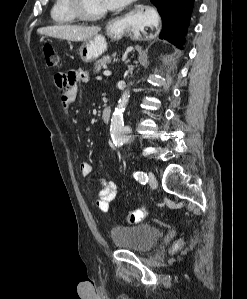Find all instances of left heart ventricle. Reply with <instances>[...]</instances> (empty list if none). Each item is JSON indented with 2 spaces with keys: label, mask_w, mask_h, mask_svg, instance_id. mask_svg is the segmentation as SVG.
<instances>
[{
  "label": "left heart ventricle",
  "mask_w": 247,
  "mask_h": 299,
  "mask_svg": "<svg viewBox=\"0 0 247 299\" xmlns=\"http://www.w3.org/2000/svg\"><path fill=\"white\" fill-rule=\"evenodd\" d=\"M86 9L89 12L95 13L106 9L103 0H84Z\"/></svg>",
  "instance_id": "b2bd125f"
}]
</instances>
